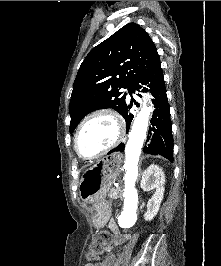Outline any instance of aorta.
Here are the masks:
<instances>
[{"instance_id": "1", "label": "aorta", "mask_w": 221, "mask_h": 266, "mask_svg": "<svg viewBox=\"0 0 221 266\" xmlns=\"http://www.w3.org/2000/svg\"><path fill=\"white\" fill-rule=\"evenodd\" d=\"M152 107H142L136 116L132 129L129 133V139L125 146V164L126 170L124 175V209L119 218L120 224L123 227H128L136 221V209L138 203V194L135 188V183L138 177V163L143 143L147 136V128L149 115Z\"/></svg>"}]
</instances>
